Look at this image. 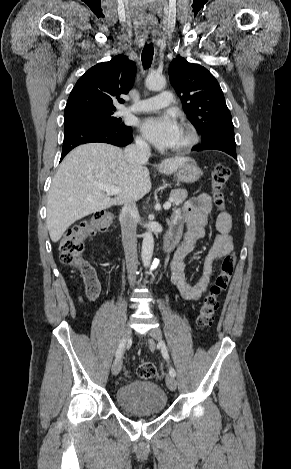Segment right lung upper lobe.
I'll return each mask as SVG.
<instances>
[{"label":"right lung upper lobe","mask_w":291,"mask_h":469,"mask_svg":"<svg viewBox=\"0 0 291 469\" xmlns=\"http://www.w3.org/2000/svg\"><path fill=\"white\" fill-rule=\"evenodd\" d=\"M136 66L124 55H117L108 62L99 63L79 78L72 89L65 114L92 109H116V102L131 89Z\"/></svg>","instance_id":"1"}]
</instances>
